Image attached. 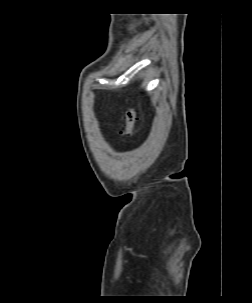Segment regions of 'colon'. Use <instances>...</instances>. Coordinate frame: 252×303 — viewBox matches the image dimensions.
Returning a JSON list of instances; mask_svg holds the SVG:
<instances>
[{
	"label": "colon",
	"mask_w": 252,
	"mask_h": 303,
	"mask_svg": "<svg viewBox=\"0 0 252 303\" xmlns=\"http://www.w3.org/2000/svg\"><path fill=\"white\" fill-rule=\"evenodd\" d=\"M136 121H137L136 111L133 107H129L125 113V122L121 129V133L126 139H132L134 137Z\"/></svg>",
	"instance_id": "colon-1"
}]
</instances>
